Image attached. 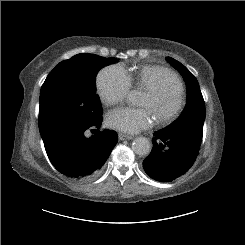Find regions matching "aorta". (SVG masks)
Here are the masks:
<instances>
[{"label": "aorta", "mask_w": 245, "mask_h": 245, "mask_svg": "<svg viewBox=\"0 0 245 245\" xmlns=\"http://www.w3.org/2000/svg\"><path fill=\"white\" fill-rule=\"evenodd\" d=\"M127 98L133 105H140L141 103V94L137 90L130 91ZM132 148L138 155H148L151 151V143L145 137H138L133 141Z\"/></svg>", "instance_id": "aorta-1"}]
</instances>
